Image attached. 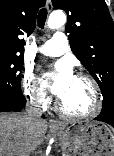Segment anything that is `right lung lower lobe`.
I'll list each match as a JSON object with an SVG mask.
<instances>
[{
    "mask_svg": "<svg viewBox=\"0 0 114 156\" xmlns=\"http://www.w3.org/2000/svg\"><path fill=\"white\" fill-rule=\"evenodd\" d=\"M25 104V97L21 99L0 97V112L21 111Z\"/></svg>",
    "mask_w": 114,
    "mask_h": 156,
    "instance_id": "1",
    "label": "right lung lower lobe"
}]
</instances>
